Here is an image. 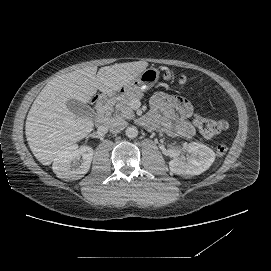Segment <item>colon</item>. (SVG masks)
<instances>
[{
	"instance_id": "obj_1",
	"label": "colon",
	"mask_w": 271,
	"mask_h": 271,
	"mask_svg": "<svg viewBox=\"0 0 271 271\" xmlns=\"http://www.w3.org/2000/svg\"><path fill=\"white\" fill-rule=\"evenodd\" d=\"M175 78L179 83L183 84L186 82V76L178 75ZM195 125L199 133L205 138H212L221 132L225 131L228 127L227 123L224 120L208 118V117H199L195 120ZM228 151V147L224 144L217 146L216 154L219 157H223Z\"/></svg>"
}]
</instances>
